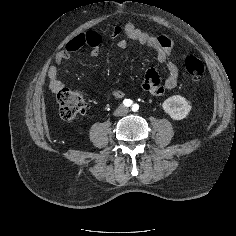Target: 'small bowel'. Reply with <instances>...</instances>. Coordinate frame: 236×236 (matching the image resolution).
Returning <instances> with one entry per match:
<instances>
[{
	"instance_id": "obj_1",
	"label": "small bowel",
	"mask_w": 236,
	"mask_h": 236,
	"mask_svg": "<svg viewBox=\"0 0 236 236\" xmlns=\"http://www.w3.org/2000/svg\"><path fill=\"white\" fill-rule=\"evenodd\" d=\"M109 36L117 39V47L127 49L130 42L136 41L141 46L153 50L159 62L166 63L167 75L164 80L161 79L159 73L151 68L148 69L142 79V89L153 95L162 96L167 90L174 89L177 86L179 79L178 66L170 60V55L174 47L172 38L167 34L157 36H149L134 25L128 23L123 26H115L111 29ZM102 35L94 30L86 31L74 36L66 45L65 49L59 52L55 57L57 64H62L75 53L82 49H89L91 56L99 55V47L101 44ZM49 88L56 93L58 89L63 87V84L58 78V70L55 66H50L48 69ZM114 98L120 99L124 96V92L117 88L110 90Z\"/></svg>"
}]
</instances>
